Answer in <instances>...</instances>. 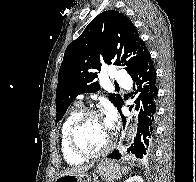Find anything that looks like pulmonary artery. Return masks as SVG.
<instances>
[{"label": "pulmonary artery", "mask_w": 196, "mask_h": 182, "mask_svg": "<svg viewBox=\"0 0 196 182\" xmlns=\"http://www.w3.org/2000/svg\"><path fill=\"white\" fill-rule=\"evenodd\" d=\"M113 78H114V81L119 85L126 86V87L130 85V78L128 74L123 71H116L113 74ZM78 98L82 99L83 96H79Z\"/></svg>", "instance_id": "obj_1"}]
</instances>
